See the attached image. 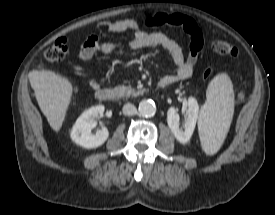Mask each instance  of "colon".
I'll return each mask as SVG.
<instances>
[{
    "label": "colon",
    "instance_id": "1",
    "mask_svg": "<svg viewBox=\"0 0 275 215\" xmlns=\"http://www.w3.org/2000/svg\"><path fill=\"white\" fill-rule=\"evenodd\" d=\"M165 23L177 28L178 30L194 35L197 32L196 24L189 18L182 15L166 16ZM212 49L221 55L227 56L230 59H235L239 55L238 49L229 44L228 42L222 40H216L212 43ZM68 52V44L66 38H59L53 42L44 52V60L48 63H53L62 60ZM213 73V69H208L204 73V78H209ZM239 100L245 99V93L239 92L237 95ZM76 104L75 101L72 102V107Z\"/></svg>",
    "mask_w": 275,
    "mask_h": 215
}]
</instances>
